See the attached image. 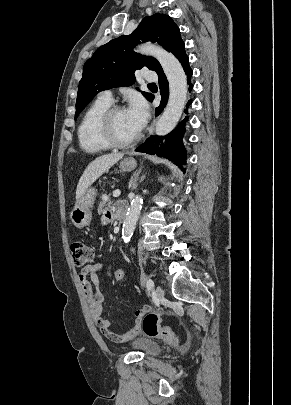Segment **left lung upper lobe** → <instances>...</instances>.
<instances>
[{
    "label": "left lung upper lobe",
    "instance_id": "obj_1",
    "mask_svg": "<svg viewBox=\"0 0 291 405\" xmlns=\"http://www.w3.org/2000/svg\"><path fill=\"white\" fill-rule=\"evenodd\" d=\"M180 30L171 17L154 14L145 17L137 29L128 36H120L99 47L83 67V76L79 82L75 119L83 108L100 91L130 86L135 83L134 72L142 67L156 70L161 65L149 56L133 52V48L142 42H157L169 52L181 41ZM150 100L152 94L142 92Z\"/></svg>",
    "mask_w": 291,
    "mask_h": 405
}]
</instances>
